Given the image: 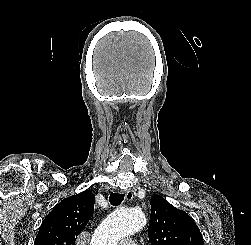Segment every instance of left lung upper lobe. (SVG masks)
Returning <instances> with one entry per match:
<instances>
[{"instance_id":"5c2ea615","label":"left lung upper lobe","mask_w":251,"mask_h":245,"mask_svg":"<svg viewBox=\"0 0 251 245\" xmlns=\"http://www.w3.org/2000/svg\"><path fill=\"white\" fill-rule=\"evenodd\" d=\"M149 240L152 245H204L194 220L160 195L151 198Z\"/></svg>"}]
</instances>
